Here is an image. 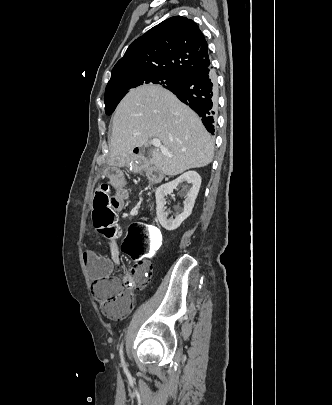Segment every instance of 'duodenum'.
Here are the masks:
<instances>
[{"instance_id":"duodenum-1","label":"duodenum","mask_w":332,"mask_h":405,"mask_svg":"<svg viewBox=\"0 0 332 405\" xmlns=\"http://www.w3.org/2000/svg\"><path fill=\"white\" fill-rule=\"evenodd\" d=\"M155 181H159V177L157 175H153Z\"/></svg>"}]
</instances>
